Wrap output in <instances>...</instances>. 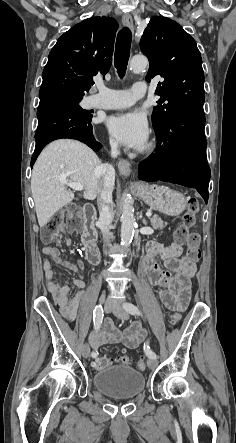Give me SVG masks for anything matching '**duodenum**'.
Wrapping results in <instances>:
<instances>
[{
	"mask_svg": "<svg viewBox=\"0 0 236 443\" xmlns=\"http://www.w3.org/2000/svg\"><path fill=\"white\" fill-rule=\"evenodd\" d=\"M83 217L85 219V226L81 237V244L85 249L88 262L92 265H97L99 262V250L95 244L97 235L93 226V220L96 217L95 207L86 205L83 208Z\"/></svg>",
	"mask_w": 236,
	"mask_h": 443,
	"instance_id": "duodenum-1",
	"label": "duodenum"
}]
</instances>
